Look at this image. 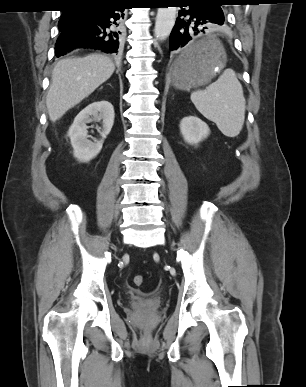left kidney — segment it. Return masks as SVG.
<instances>
[{"label": "left kidney", "instance_id": "5707ae66", "mask_svg": "<svg viewBox=\"0 0 306 387\" xmlns=\"http://www.w3.org/2000/svg\"><path fill=\"white\" fill-rule=\"evenodd\" d=\"M180 131L185 142L197 145L210 134L208 125L196 116L184 117L180 122Z\"/></svg>", "mask_w": 306, "mask_h": 387}]
</instances>
